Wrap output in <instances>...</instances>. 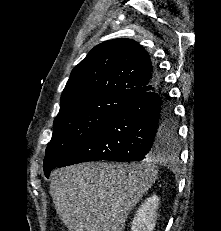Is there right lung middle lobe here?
I'll return each instance as SVG.
<instances>
[{"mask_svg":"<svg viewBox=\"0 0 221 231\" xmlns=\"http://www.w3.org/2000/svg\"><path fill=\"white\" fill-rule=\"evenodd\" d=\"M129 100L99 95L78 100L60 109L54 120L53 135L46 148L44 158L45 175L60 164L75 149L90 138L106 120ZM174 130L166 134L177 143V126L173 117Z\"/></svg>","mask_w":221,"mask_h":231,"instance_id":"dd1d6c3e","label":"right lung middle lobe"}]
</instances>
